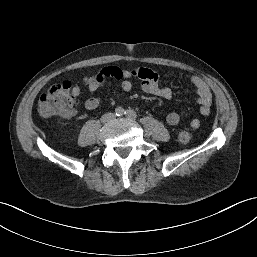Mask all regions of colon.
<instances>
[{"label": "colon", "mask_w": 257, "mask_h": 257, "mask_svg": "<svg viewBox=\"0 0 257 257\" xmlns=\"http://www.w3.org/2000/svg\"><path fill=\"white\" fill-rule=\"evenodd\" d=\"M73 84L64 81L51 86L39 99L38 112L43 117L63 116L69 114L75 105ZM194 139V130L186 127L179 131L178 141L189 144Z\"/></svg>", "instance_id": "5ec220e1"}]
</instances>
